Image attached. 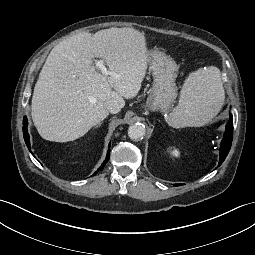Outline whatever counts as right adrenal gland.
I'll return each instance as SVG.
<instances>
[{"mask_svg": "<svg viewBox=\"0 0 255 255\" xmlns=\"http://www.w3.org/2000/svg\"><path fill=\"white\" fill-rule=\"evenodd\" d=\"M102 124V122H100L98 125L95 126V128L99 127Z\"/></svg>", "mask_w": 255, "mask_h": 255, "instance_id": "2a0ac1e0", "label": "right adrenal gland"}]
</instances>
